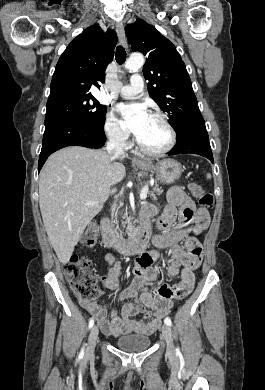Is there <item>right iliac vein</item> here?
Wrapping results in <instances>:
<instances>
[{
    "mask_svg": "<svg viewBox=\"0 0 265 390\" xmlns=\"http://www.w3.org/2000/svg\"><path fill=\"white\" fill-rule=\"evenodd\" d=\"M98 333H99L98 326L94 325L90 331L89 340L86 346V353H85L86 357H90L94 353L96 341L98 338Z\"/></svg>",
    "mask_w": 265,
    "mask_h": 390,
    "instance_id": "right-iliac-vein-1",
    "label": "right iliac vein"
}]
</instances>
